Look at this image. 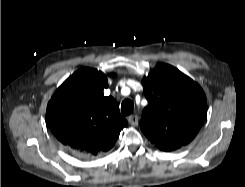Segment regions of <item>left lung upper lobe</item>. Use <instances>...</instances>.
I'll use <instances>...</instances> for the list:
<instances>
[{
  "mask_svg": "<svg viewBox=\"0 0 245 187\" xmlns=\"http://www.w3.org/2000/svg\"><path fill=\"white\" fill-rule=\"evenodd\" d=\"M148 100L140 128L159 149L189 144L200 130L207 108L205 93L191 78L168 64H158L143 79Z\"/></svg>",
  "mask_w": 245,
  "mask_h": 187,
  "instance_id": "5c2ea615",
  "label": "left lung upper lobe"
}]
</instances>
